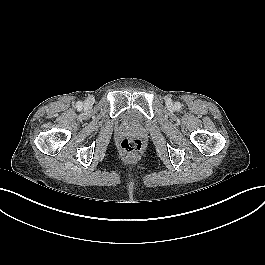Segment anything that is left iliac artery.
Instances as JSON below:
<instances>
[{
	"label": "left iliac artery",
	"mask_w": 265,
	"mask_h": 265,
	"mask_svg": "<svg viewBox=\"0 0 265 265\" xmlns=\"http://www.w3.org/2000/svg\"><path fill=\"white\" fill-rule=\"evenodd\" d=\"M175 107H176V109H180V108H181V104H180L179 102H177V103L175 104Z\"/></svg>",
	"instance_id": "left-iliac-artery-1"
}]
</instances>
